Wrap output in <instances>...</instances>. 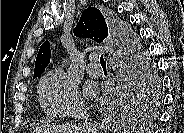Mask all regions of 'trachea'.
I'll return each mask as SVG.
<instances>
[{"label": "trachea", "instance_id": "3493384b", "mask_svg": "<svg viewBox=\"0 0 184 133\" xmlns=\"http://www.w3.org/2000/svg\"><path fill=\"white\" fill-rule=\"evenodd\" d=\"M100 64H101V66H102L103 68H106V61H105L103 55L100 57Z\"/></svg>", "mask_w": 184, "mask_h": 133}]
</instances>
